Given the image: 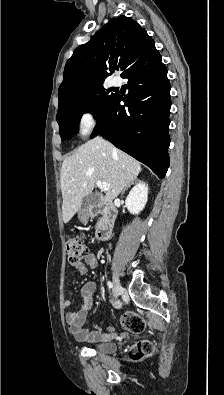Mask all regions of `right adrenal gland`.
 <instances>
[{
  "label": "right adrenal gland",
  "mask_w": 224,
  "mask_h": 395,
  "mask_svg": "<svg viewBox=\"0 0 224 395\" xmlns=\"http://www.w3.org/2000/svg\"><path fill=\"white\" fill-rule=\"evenodd\" d=\"M137 182H138V180H135V181L131 182L127 187L124 188V190L122 191V194H124L125 190H126L128 187H130V185H132V184H134V183H137Z\"/></svg>",
  "instance_id": "right-adrenal-gland-1"
}]
</instances>
